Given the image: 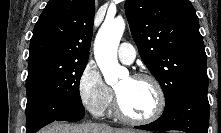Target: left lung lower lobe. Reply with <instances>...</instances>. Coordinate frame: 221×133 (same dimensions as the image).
I'll use <instances>...</instances> for the list:
<instances>
[{
  "instance_id": "left-lung-lower-lobe-1",
  "label": "left lung lower lobe",
  "mask_w": 221,
  "mask_h": 133,
  "mask_svg": "<svg viewBox=\"0 0 221 133\" xmlns=\"http://www.w3.org/2000/svg\"><path fill=\"white\" fill-rule=\"evenodd\" d=\"M209 102L207 88H193L183 92L173 104L165 107L162 116L137 129L150 131L180 130L186 133H208Z\"/></svg>"
}]
</instances>
